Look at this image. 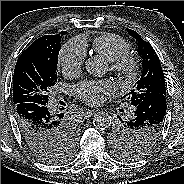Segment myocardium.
I'll return each instance as SVG.
<instances>
[{"label": "myocardium", "mask_w": 184, "mask_h": 184, "mask_svg": "<svg viewBox=\"0 0 184 184\" xmlns=\"http://www.w3.org/2000/svg\"><path fill=\"white\" fill-rule=\"evenodd\" d=\"M139 63L135 56L126 53L117 60L110 62L109 70L121 79L132 82L138 72Z\"/></svg>", "instance_id": "obj_1"}]
</instances>
